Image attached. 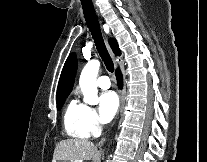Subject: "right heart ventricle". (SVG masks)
I'll return each mask as SVG.
<instances>
[{"label":"right heart ventricle","instance_id":"obj_1","mask_svg":"<svg viewBox=\"0 0 207 162\" xmlns=\"http://www.w3.org/2000/svg\"><path fill=\"white\" fill-rule=\"evenodd\" d=\"M88 107L76 98L69 101L64 115L63 126L66 133L77 139H87L91 136L87 124Z\"/></svg>","mask_w":207,"mask_h":162}]
</instances>
